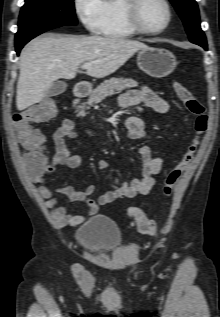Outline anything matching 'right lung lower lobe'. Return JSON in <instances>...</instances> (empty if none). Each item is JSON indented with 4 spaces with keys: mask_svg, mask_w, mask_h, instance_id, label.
I'll list each match as a JSON object with an SVG mask.
<instances>
[{
    "mask_svg": "<svg viewBox=\"0 0 220 317\" xmlns=\"http://www.w3.org/2000/svg\"><path fill=\"white\" fill-rule=\"evenodd\" d=\"M56 27H60V26H53V27H46V28H42V29H39V30H36L34 32H32L31 34H29L28 36L22 38L21 40H18V41H15V47H16V52L17 54L20 53V50L22 49V47L28 42L30 41L32 38L36 37L37 35L47 31V30H50V29H53V28H56Z\"/></svg>",
    "mask_w": 220,
    "mask_h": 317,
    "instance_id": "98d812e1",
    "label": "right lung lower lobe"
}]
</instances>
